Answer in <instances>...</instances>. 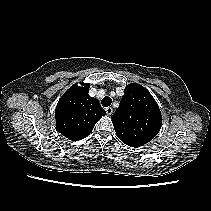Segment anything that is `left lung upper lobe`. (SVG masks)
<instances>
[{"instance_id": "left-lung-upper-lobe-1", "label": "left lung upper lobe", "mask_w": 211, "mask_h": 211, "mask_svg": "<svg viewBox=\"0 0 211 211\" xmlns=\"http://www.w3.org/2000/svg\"><path fill=\"white\" fill-rule=\"evenodd\" d=\"M111 119L119 139L135 148L151 141L162 124L156 101L147 89L137 83L125 87L124 96Z\"/></svg>"}]
</instances>
